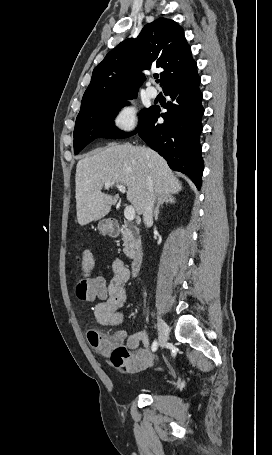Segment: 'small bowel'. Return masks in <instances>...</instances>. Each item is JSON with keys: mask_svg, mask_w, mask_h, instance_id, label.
Instances as JSON below:
<instances>
[{"mask_svg": "<svg viewBox=\"0 0 272 455\" xmlns=\"http://www.w3.org/2000/svg\"><path fill=\"white\" fill-rule=\"evenodd\" d=\"M113 275L106 286V296L96 304L94 314L102 325L118 326L123 320L122 308L126 303V282L130 279V271L122 260L116 258L112 262ZM114 340L131 351L127 365L123 371L128 375H137L152 366L155 356L149 351V337L146 332L128 335L119 329L115 332ZM143 348H139V344Z\"/></svg>", "mask_w": 272, "mask_h": 455, "instance_id": "small-bowel-1", "label": "small bowel"}]
</instances>
